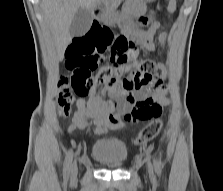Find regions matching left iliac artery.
<instances>
[{"mask_svg": "<svg viewBox=\"0 0 223 191\" xmlns=\"http://www.w3.org/2000/svg\"><path fill=\"white\" fill-rule=\"evenodd\" d=\"M154 167H155V171L157 172L158 175L161 174V166L160 163L154 158Z\"/></svg>", "mask_w": 223, "mask_h": 191, "instance_id": "1", "label": "left iliac artery"}]
</instances>
